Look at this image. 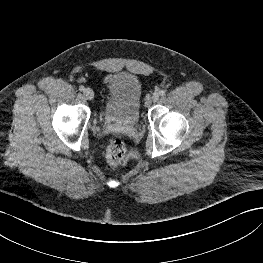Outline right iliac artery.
<instances>
[{"label": "right iliac artery", "mask_w": 263, "mask_h": 263, "mask_svg": "<svg viewBox=\"0 0 263 263\" xmlns=\"http://www.w3.org/2000/svg\"><path fill=\"white\" fill-rule=\"evenodd\" d=\"M79 90H80V91H84V90H85V87H84V86H80V87H79Z\"/></svg>", "instance_id": "obj_1"}]
</instances>
